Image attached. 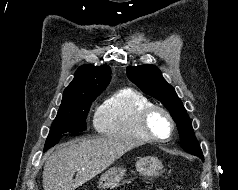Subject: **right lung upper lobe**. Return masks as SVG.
I'll use <instances>...</instances> for the list:
<instances>
[{
	"label": "right lung upper lobe",
	"mask_w": 238,
	"mask_h": 190,
	"mask_svg": "<svg viewBox=\"0 0 238 190\" xmlns=\"http://www.w3.org/2000/svg\"><path fill=\"white\" fill-rule=\"evenodd\" d=\"M111 69L108 65H82L75 72L73 81L64 90L62 103L81 95L100 94L109 84Z\"/></svg>",
	"instance_id": "obj_1"
}]
</instances>
